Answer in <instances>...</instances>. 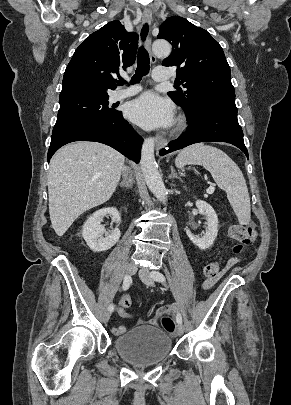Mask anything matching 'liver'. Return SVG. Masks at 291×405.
<instances>
[{
  "instance_id": "1",
  "label": "liver",
  "mask_w": 291,
  "mask_h": 405,
  "mask_svg": "<svg viewBox=\"0 0 291 405\" xmlns=\"http://www.w3.org/2000/svg\"><path fill=\"white\" fill-rule=\"evenodd\" d=\"M124 156L97 142L63 146L52 157L48 173L52 228L63 236L84 212L108 201L120 180Z\"/></svg>"
}]
</instances>
